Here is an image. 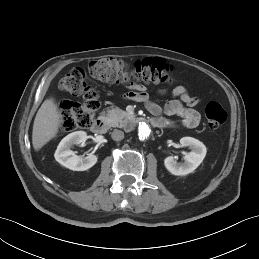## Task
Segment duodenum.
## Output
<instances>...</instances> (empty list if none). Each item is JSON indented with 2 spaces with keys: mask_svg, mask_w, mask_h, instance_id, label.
<instances>
[{
  "mask_svg": "<svg viewBox=\"0 0 259 259\" xmlns=\"http://www.w3.org/2000/svg\"><path fill=\"white\" fill-rule=\"evenodd\" d=\"M132 121L134 125H139L143 122L141 118H139L137 115L132 114L131 115ZM149 123L154 127H164L165 122L161 118H151L149 120ZM107 121L104 117L97 118L93 124H92V131L96 134H104L107 131Z\"/></svg>",
  "mask_w": 259,
  "mask_h": 259,
  "instance_id": "1",
  "label": "duodenum"
}]
</instances>
